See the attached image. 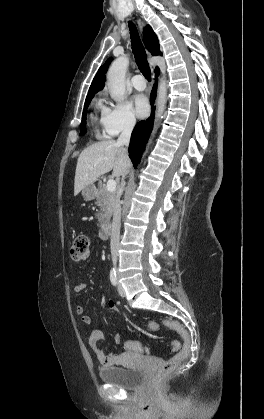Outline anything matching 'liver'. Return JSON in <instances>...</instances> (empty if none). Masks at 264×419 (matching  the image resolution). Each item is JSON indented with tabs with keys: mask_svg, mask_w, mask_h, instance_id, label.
<instances>
[{
	"mask_svg": "<svg viewBox=\"0 0 264 419\" xmlns=\"http://www.w3.org/2000/svg\"><path fill=\"white\" fill-rule=\"evenodd\" d=\"M131 161L128 153L114 140L96 142L84 149L79 155L75 180L74 195L92 185L99 176L113 169V176L119 178L128 174Z\"/></svg>",
	"mask_w": 264,
	"mask_h": 419,
	"instance_id": "obj_1",
	"label": "liver"
}]
</instances>
